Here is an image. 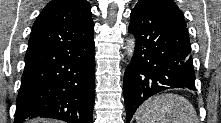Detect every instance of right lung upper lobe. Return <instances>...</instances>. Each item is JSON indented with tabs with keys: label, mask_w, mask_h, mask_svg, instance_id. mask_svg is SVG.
<instances>
[{
	"label": "right lung upper lobe",
	"mask_w": 221,
	"mask_h": 123,
	"mask_svg": "<svg viewBox=\"0 0 221 123\" xmlns=\"http://www.w3.org/2000/svg\"><path fill=\"white\" fill-rule=\"evenodd\" d=\"M86 0H52L33 24L28 50L74 42L94 31Z\"/></svg>",
	"instance_id": "obj_1"
}]
</instances>
